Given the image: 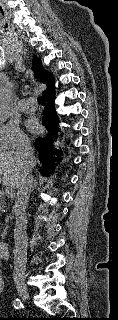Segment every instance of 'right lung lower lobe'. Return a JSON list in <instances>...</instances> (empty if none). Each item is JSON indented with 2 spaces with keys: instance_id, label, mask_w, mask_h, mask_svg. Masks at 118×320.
I'll return each instance as SVG.
<instances>
[{
  "instance_id": "98d812e1",
  "label": "right lung lower lobe",
  "mask_w": 118,
  "mask_h": 320,
  "mask_svg": "<svg viewBox=\"0 0 118 320\" xmlns=\"http://www.w3.org/2000/svg\"><path fill=\"white\" fill-rule=\"evenodd\" d=\"M45 99L47 103L44 108L42 123L48 130V134L44 138H38L35 142V146L39 150L40 161L43 164L41 174L49 176L53 166L58 164L56 161L61 157L62 151L54 146V142L56 141L59 132V120L54 107V92L45 96Z\"/></svg>"
}]
</instances>
